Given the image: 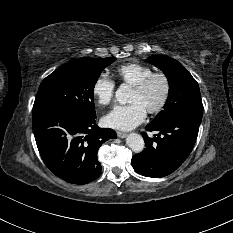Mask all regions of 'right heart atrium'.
I'll use <instances>...</instances> for the list:
<instances>
[{
	"label": "right heart atrium",
	"instance_id": "1",
	"mask_svg": "<svg viewBox=\"0 0 233 233\" xmlns=\"http://www.w3.org/2000/svg\"><path fill=\"white\" fill-rule=\"evenodd\" d=\"M92 95L99 105L109 104L114 97L115 82L105 74H100L92 84Z\"/></svg>",
	"mask_w": 233,
	"mask_h": 233
}]
</instances>
